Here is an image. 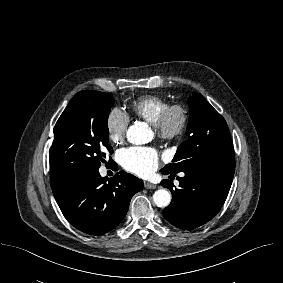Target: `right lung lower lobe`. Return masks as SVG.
Masks as SVG:
<instances>
[{"instance_id": "right-lung-lower-lobe-1", "label": "right lung lower lobe", "mask_w": 283, "mask_h": 283, "mask_svg": "<svg viewBox=\"0 0 283 283\" xmlns=\"http://www.w3.org/2000/svg\"><path fill=\"white\" fill-rule=\"evenodd\" d=\"M142 188L141 179L124 171L108 180L96 170L52 191L63 215L75 228L102 235L124 219L132 196Z\"/></svg>"}]
</instances>
